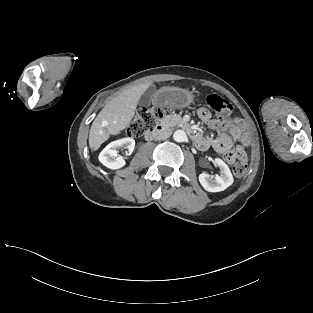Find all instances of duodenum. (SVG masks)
Returning <instances> with one entry per match:
<instances>
[{"instance_id":"duodenum-1","label":"duodenum","mask_w":313,"mask_h":313,"mask_svg":"<svg viewBox=\"0 0 313 313\" xmlns=\"http://www.w3.org/2000/svg\"><path fill=\"white\" fill-rule=\"evenodd\" d=\"M183 128L188 132V134L190 135V137L194 141L198 138V133L193 127H191L188 124H184ZM165 130H166L165 124H163V123L158 124L153 131L146 134V139L147 140H153V139L161 136Z\"/></svg>"}]
</instances>
